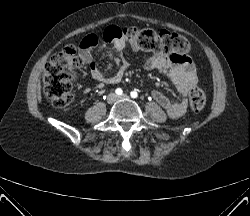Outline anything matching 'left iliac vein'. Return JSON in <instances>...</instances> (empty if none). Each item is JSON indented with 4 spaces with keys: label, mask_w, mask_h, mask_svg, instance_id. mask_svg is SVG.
I'll return each instance as SVG.
<instances>
[{
    "label": "left iliac vein",
    "mask_w": 250,
    "mask_h": 216,
    "mask_svg": "<svg viewBox=\"0 0 250 216\" xmlns=\"http://www.w3.org/2000/svg\"><path fill=\"white\" fill-rule=\"evenodd\" d=\"M117 98H118V99H127V98H128V95L123 94V95L118 96Z\"/></svg>",
    "instance_id": "left-iliac-vein-1"
}]
</instances>
